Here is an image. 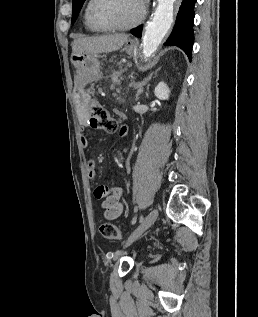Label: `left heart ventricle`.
<instances>
[{"label":"left heart ventricle","instance_id":"b2bd125f","mask_svg":"<svg viewBox=\"0 0 258 317\" xmlns=\"http://www.w3.org/2000/svg\"><path fill=\"white\" fill-rule=\"evenodd\" d=\"M139 9L132 0H104L93 11L95 19L103 25L128 27L134 24Z\"/></svg>","mask_w":258,"mask_h":317}]
</instances>
